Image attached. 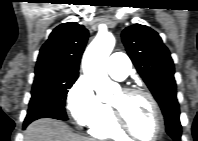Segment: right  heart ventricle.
<instances>
[{"label":"right heart ventricle","instance_id":"1","mask_svg":"<svg viewBox=\"0 0 198 141\" xmlns=\"http://www.w3.org/2000/svg\"><path fill=\"white\" fill-rule=\"evenodd\" d=\"M89 132L92 136L101 139H112L119 141L127 137L116 126L113 119L112 110L105 104H103L102 117L89 127Z\"/></svg>","mask_w":198,"mask_h":141}]
</instances>
